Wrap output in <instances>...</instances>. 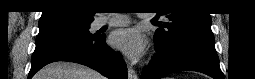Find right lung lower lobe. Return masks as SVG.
Segmentation results:
<instances>
[{"instance_id": "1", "label": "right lung lower lobe", "mask_w": 255, "mask_h": 79, "mask_svg": "<svg viewBox=\"0 0 255 79\" xmlns=\"http://www.w3.org/2000/svg\"><path fill=\"white\" fill-rule=\"evenodd\" d=\"M105 34L92 38L49 35L36 39L28 79L43 66L55 61H70L89 66L110 79H127V67L121 56L106 46Z\"/></svg>"}]
</instances>
